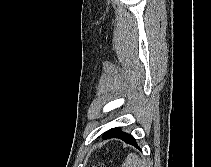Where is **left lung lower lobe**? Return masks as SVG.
Returning <instances> with one entry per match:
<instances>
[{
  "label": "left lung lower lobe",
  "mask_w": 211,
  "mask_h": 167,
  "mask_svg": "<svg viewBox=\"0 0 211 167\" xmlns=\"http://www.w3.org/2000/svg\"><path fill=\"white\" fill-rule=\"evenodd\" d=\"M112 137L122 139L127 144L137 146V143L134 137L131 134H127L123 132L120 127L112 128L111 130L103 134V138H112Z\"/></svg>",
  "instance_id": "obj_1"
}]
</instances>
